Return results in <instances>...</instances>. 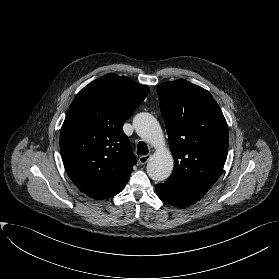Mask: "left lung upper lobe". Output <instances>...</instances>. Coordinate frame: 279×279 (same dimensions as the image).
Wrapping results in <instances>:
<instances>
[{"label":"left lung upper lobe","mask_w":279,"mask_h":279,"mask_svg":"<svg viewBox=\"0 0 279 279\" xmlns=\"http://www.w3.org/2000/svg\"><path fill=\"white\" fill-rule=\"evenodd\" d=\"M175 165L167 183L204 195L220 177L229 133L212 95L184 79L157 86Z\"/></svg>","instance_id":"1"}]
</instances>
